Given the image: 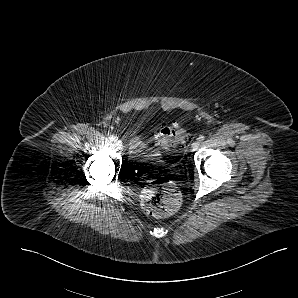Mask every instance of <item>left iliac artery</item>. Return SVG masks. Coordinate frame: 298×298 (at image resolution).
<instances>
[{"label": "left iliac artery", "instance_id": "left-iliac-artery-1", "mask_svg": "<svg viewBox=\"0 0 298 298\" xmlns=\"http://www.w3.org/2000/svg\"><path fill=\"white\" fill-rule=\"evenodd\" d=\"M198 139H199V141H203L205 139V136L204 135H200Z\"/></svg>", "mask_w": 298, "mask_h": 298}]
</instances>
